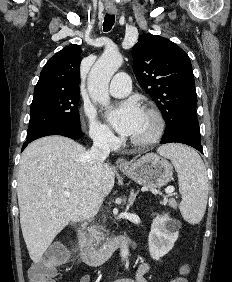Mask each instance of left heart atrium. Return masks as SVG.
<instances>
[{
    "label": "left heart atrium",
    "instance_id": "left-heart-atrium-1",
    "mask_svg": "<svg viewBox=\"0 0 232 282\" xmlns=\"http://www.w3.org/2000/svg\"><path fill=\"white\" fill-rule=\"evenodd\" d=\"M143 112L136 100L129 99L109 110L106 118L121 135L132 136L141 123Z\"/></svg>",
    "mask_w": 232,
    "mask_h": 282
}]
</instances>
